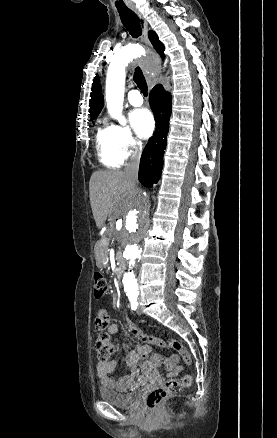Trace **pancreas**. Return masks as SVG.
Here are the masks:
<instances>
[{
    "label": "pancreas",
    "instance_id": "obj_1",
    "mask_svg": "<svg viewBox=\"0 0 277 438\" xmlns=\"http://www.w3.org/2000/svg\"><path fill=\"white\" fill-rule=\"evenodd\" d=\"M112 239L111 231H102L101 239H96L95 245L98 253H109L110 252V242Z\"/></svg>",
    "mask_w": 277,
    "mask_h": 438
}]
</instances>
